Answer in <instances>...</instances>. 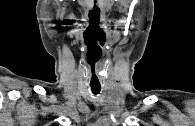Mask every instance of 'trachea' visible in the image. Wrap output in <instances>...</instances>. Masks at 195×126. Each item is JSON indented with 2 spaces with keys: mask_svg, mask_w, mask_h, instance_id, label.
I'll return each mask as SVG.
<instances>
[{
  "mask_svg": "<svg viewBox=\"0 0 195 126\" xmlns=\"http://www.w3.org/2000/svg\"><path fill=\"white\" fill-rule=\"evenodd\" d=\"M91 90H92L93 94H98L100 92L101 88L100 87H91Z\"/></svg>",
  "mask_w": 195,
  "mask_h": 126,
  "instance_id": "3493384b",
  "label": "trachea"
}]
</instances>
